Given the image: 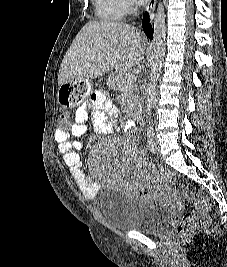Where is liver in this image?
Returning a JSON list of instances; mask_svg holds the SVG:
<instances>
[{
    "instance_id": "obj_1",
    "label": "liver",
    "mask_w": 227,
    "mask_h": 267,
    "mask_svg": "<svg viewBox=\"0 0 227 267\" xmlns=\"http://www.w3.org/2000/svg\"><path fill=\"white\" fill-rule=\"evenodd\" d=\"M146 42L131 25L90 21L79 31L61 63L58 84L67 77L96 78L112 69L127 71L144 57Z\"/></svg>"
}]
</instances>
